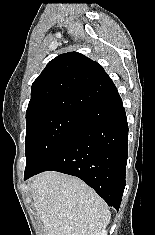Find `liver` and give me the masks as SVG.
I'll list each match as a JSON object with an SVG mask.
<instances>
[{"label": "liver", "instance_id": "liver-1", "mask_svg": "<svg viewBox=\"0 0 155 235\" xmlns=\"http://www.w3.org/2000/svg\"><path fill=\"white\" fill-rule=\"evenodd\" d=\"M31 191L46 235H99L110 221L105 202L76 177L45 172L33 178Z\"/></svg>", "mask_w": 155, "mask_h": 235}]
</instances>
